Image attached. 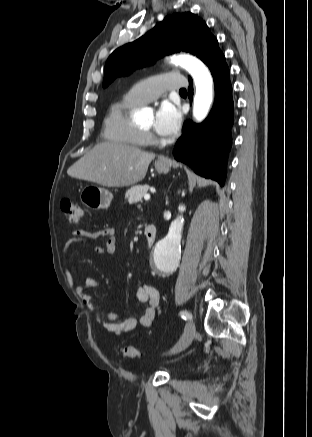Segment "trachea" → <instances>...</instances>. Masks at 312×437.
<instances>
[{"label":"trachea","mask_w":312,"mask_h":437,"mask_svg":"<svg viewBox=\"0 0 312 437\" xmlns=\"http://www.w3.org/2000/svg\"><path fill=\"white\" fill-rule=\"evenodd\" d=\"M179 93H187L186 89H180Z\"/></svg>","instance_id":"3493384b"}]
</instances>
